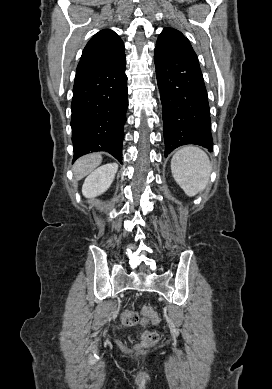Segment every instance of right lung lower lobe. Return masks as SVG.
<instances>
[{
    "mask_svg": "<svg viewBox=\"0 0 272 389\" xmlns=\"http://www.w3.org/2000/svg\"><path fill=\"white\" fill-rule=\"evenodd\" d=\"M126 56L76 73L71 103L74 159L106 151L122 162L128 107Z\"/></svg>",
    "mask_w": 272,
    "mask_h": 389,
    "instance_id": "obj_1",
    "label": "right lung lower lobe"
}]
</instances>
